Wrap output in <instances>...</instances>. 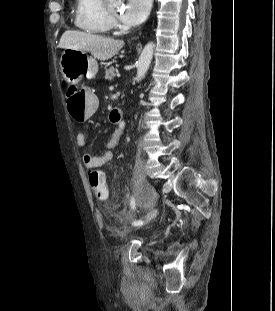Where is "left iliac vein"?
<instances>
[{"mask_svg": "<svg viewBox=\"0 0 275 311\" xmlns=\"http://www.w3.org/2000/svg\"><path fill=\"white\" fill-rule=\"evenodd\" d=\"M157 215V209H152L151 211H149L145 217H144V222L145 223H148L150 222L151 220H153Z\"/></svg>", "mask_w": 275, "mask_h": 311, "instance_id": "4c4485c4", "label": "left iliac vein"}]
</instances>
